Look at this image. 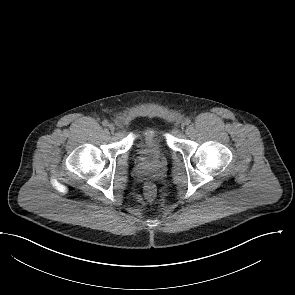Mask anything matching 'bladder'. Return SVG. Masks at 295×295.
Instances as JSON below:
<instances>
[{
  "label": "bladder",
  "mask_w": 295,
  "mask_h": 295,
  "mask_svg": "<svg viewBox=\"0 0 295 295\" xmlns=\"http://www.w3.org/2000/svg\"><path fill=\"white\" fill-rule=\"evenodd\" d=\"M166 147L162 129L155 125L146 126L136 136L135 155L143 161H154L164 152Z\"/></svg>",
  "instance_id": "obj_1"
}]
</instances>
